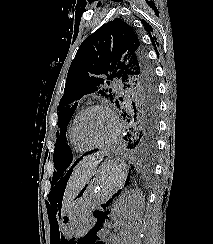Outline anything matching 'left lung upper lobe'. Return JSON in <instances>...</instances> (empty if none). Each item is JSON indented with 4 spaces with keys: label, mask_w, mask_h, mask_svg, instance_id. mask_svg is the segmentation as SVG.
<instances>
[{
    "label": "left lung upper lobe",
    "mask_w": 213,
    "mask_h": 244,
    "mask_svg": "<svg viewBox=\"0 0 213 244\" xmlns=\"http://www.w3.org/2000/svg\"><path fill=\"white\" fill-rule=\"evenodd\" d=\"M96 93L126 104L135 118L157 119L158 97L154 73L133 28L119 18L102 25L82 42L72 61L57 109L54 166L65 170L72 152L66 128L83 96ZM124 111V110H123Z\"/></svg>",
    "instance_id": "left-lung-upper-lobe-1"
}]
</instances>
